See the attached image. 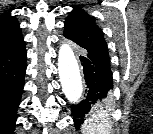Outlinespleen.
Returning <instances> with one entry per match:
<instances>
[{"mask_svg":"<svg viewBox=\"0 0 153 134\" xmlns=\"http://www.w3.org/2000/svg\"><path fill=\"white\" fill-rule=\"evenodd\" d=\"M112 128L110 114L101 106H95L85 120L82 134H110Z\"/></svg>","mask_w":153,"mask_h":134,"instance_id":"3e777b00","label":"spleen"}]
</instances>
